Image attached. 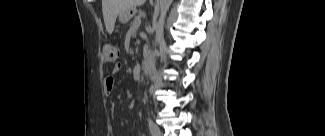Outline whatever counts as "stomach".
I'll return each mask as SVG.
<instances>
[{
	"label": "stomach",
	"instance_id": "0dacf381",
	"mask_svg": "<svg viewBox=\"0 0 325 136\" xmlns=\"http://www.w3.org/2000/svg\"><path fill=\"white\" fill-rule=\"evenodd\" d=\"M135 14V10L133 8L121 13L119 15V19L121 22L126 23L128 22Z\"/></svg>",
	"mask_w": 325,
	"mask_h": 136
}]
</instances>
